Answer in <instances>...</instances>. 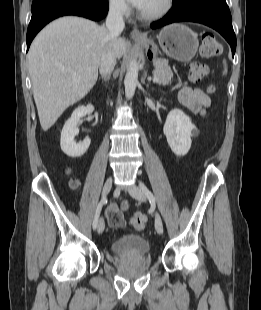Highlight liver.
I'll use <instances>...</instances> for the list:
<instances>
[{"instance_id":"obj_1","label":"liver","mask_w":261,"mask_h":310,"mask_svg":"<svg viewBox=\"0 0 261 310\" xmlns=\"http://www.w3.org/2000/svg\"><path fill=\"white\" fill-rule=\"evenodd\" d=\"M108 45L118 59L126 53L123 39H111L105 26L76 16L56 19L35 37L27 59L44 131L93 88Z\"/></svg>"}]
</instances>
